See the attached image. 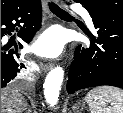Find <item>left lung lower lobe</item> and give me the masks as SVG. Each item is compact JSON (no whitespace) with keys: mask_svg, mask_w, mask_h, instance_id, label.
I'll list each match as a JSON object with an SVG mask.
<instances>
[{"mask_svg":"<svg viewBox=\"0 0 123 113\" xmlns=\"http://www.w3.org/2000/svg\"><path fill=\"white\" fill-rule=\"evenodd\" d=\"M92 17L97 36L79 45L69 70L68 93L101 85L123 89V15L103 10L94 2L81 3Z\"/></svg>","mask_w":123,"mask_h":113,"instance_id":"1","label":"left lung lower lobe"}]
</instances>
